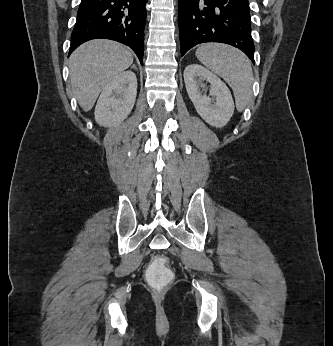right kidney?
Returning <instances> with one entry per match:
<instances>
[{
    "instance_id": "right-kidney-1",
    "label": "right kidney",
    "mask_w": 333,
    "mask_h": 346,
    "mask_svg": "<svg viewBox=\"0 0 333 346\" xmlns=\"http://www.w3.org/2000/svg\"><path fill=\"white\" fill-rule=\"evenodd\" d=\"M137 95V78L132 71H124L103 89L96 107L95 120L100 126L119 125L133 109Z\"/></svg>"
}]
</instances>
